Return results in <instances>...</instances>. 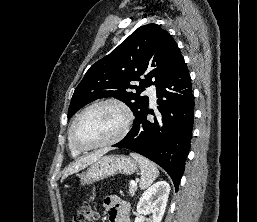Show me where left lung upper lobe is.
Returning a JSON list of instances; mask_svg holds the SVG:
<instances>
[{
	"instance_id": "obj_1",
	"label": "left lung upper lobe",
	"mask_w": 257,
	"mask_h": 222,
	"mask_svg": "<svg viewBox=\"0 0 257 222\" xmlns=\"http://www.w3.org/2000/svg\"><path fill=\"white\" fill-rule=\"evenodd\" d=\"M182 58L173 37L159 25L139 27L89 68L74 91L68 118L86 104L104 97L123 101L136 118L149 104L148 96L140 93L152 84L157 86ZM142 75L144 79H140ZM134 81H140L139 86Z\"/></svg>"
}]
</instances>
